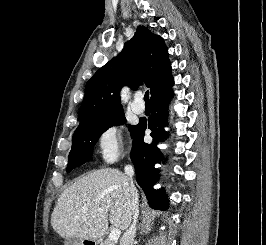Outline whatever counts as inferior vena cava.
Listing matches in <instances>:
<instances>
[{"instance_id":"inferior-vena-cava-1","label":"inferior vena cava","mask_w":266,"mask_h":245,"mask_svg":"<svg viewBox=\"0 0 266 245\" xmlns=\"http://www.w3.org/2000/svg\"><path fill=\"white\" fill-rule=\"evenodd\" d=\"M125 175L129 177V195L131 197V211L133 213V221L127 229L126 233H124L120 245H133L135 235H136V225L139 217V197H138V191L133 183V175H134V169L132 165H126L124 167Z\"/></svg>"}]
</instances>
